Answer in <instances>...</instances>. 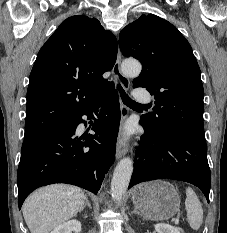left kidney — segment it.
<instances>
[{
    "label": "left kidney",
    "instance_id": "obj_1",
    "mask_svg": "<svg viewBox=\"0 0 227 233\" xmlns=\"http://www.w3.org/2000/svg\"><path fill=\"white\" fill-rule=\"evenodd\" d=\"M155 230L157 233H180V230L169 224H156Z\"/></svg>",
    "mask_w": 227,
    "mask_h": 233
}]
</instances>
